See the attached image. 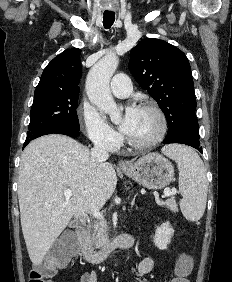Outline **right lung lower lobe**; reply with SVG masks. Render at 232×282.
I'll list each match as a JSON object with an SVG mask.
<instances>
[{
	"mask_svg": "<svg viewBox=\"0 0 232 282\" xmlns=\"http://www.w3.org/2000/svg\"><path fill=\"white\" fill-rule=\"evenodd\" d=\"M53 133L64 134V135H68L70 137H76L80 134L79 130H76V129H73V128H70V127H67V126H63V125L54 126V127L49 128V129L43 130L40 133H36V134L28 137V140L24 143L23 148L29 143V141H31L35 138H38L40 136L47 135V134H53Z\"/></svg>",
	"mask_w": 232,
	"mask_h": 282,
	"instance_id": "obj_1",
	"label": "right lung lower lobe"
}]
</instances>
